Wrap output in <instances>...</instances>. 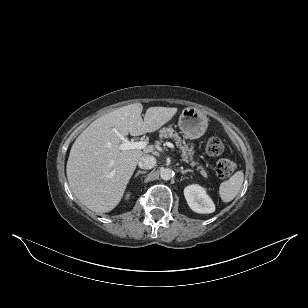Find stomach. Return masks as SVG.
Listing matches in <instances>:
<instances>
[{"label":"stomach","mask_w":308,"mask_h":308,"mask_svg":"<svg viewBox=\"0 0 308 308\" xmlns=\"http://www.w3.org/2000/svg\"><path fill=\"white\" fill-rule=\"evenodd\" d=\"M178 126L186 139H197L206 132L208 118L200 110L187 107L179 117Z\"/></svg>","instance_id":"0dacf381"}]
</instances>
